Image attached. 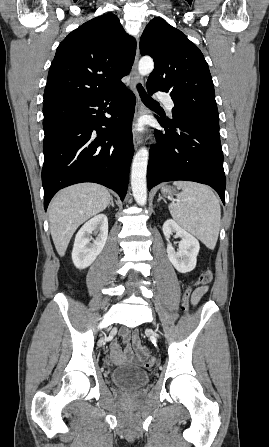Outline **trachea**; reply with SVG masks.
<instances>
[{
	"instance_id": "1",
	"label": "trachea",
	"mask_w": 269,
	"mask_h": 447,
	"mask_svg": "<svg viewBox=\"0 0 269 447\" xmlns=\"http://www.w3.org/2000/svg\"><path fill=\"white\" fill-rule=\"evenodd\" d=\"M139 94L141 96L142 101L145 103V105H159L158 102L153 100L147 93L145 92L144 88L139 84L137 86Z\"/></svg>"
}]
</instances>
